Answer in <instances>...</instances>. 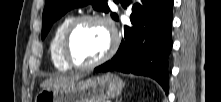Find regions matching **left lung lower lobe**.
Returning a JSON list of instances; mask_svg holds the SVG:
<instances>
[{
  "label": "left lung lower lobe",
  "instance_id": "1",
  "mask_svg": "<svg viewBox=\"0 0 221 102\" xmlns=\"http://www.w3.org/2000/svg\"><path fill=\"white\" fill-rule=\"evenodd\" d=\"M124 27L116 55L95 68L96 72L120 71L155 79L168 94V57L172 49L173 0H138Z\"/></svg>",
  "mask_w": 221,
  "mask_h": 102
}]
</instances>
